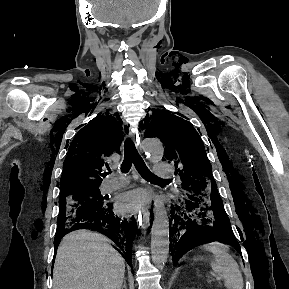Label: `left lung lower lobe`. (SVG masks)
<instances>
[{"mask_svg": "<svg viewBox=\"0 0 289 289\" xmlns=\"http://www.w3.org/2000/svg\"><path fill=\"white\" fill-rule=\"evenodd\" d=\"M204 237L224 239L238 248L230 220L217 189L193 187L181 193L171 205L170 249L173 264L195 247L194 240Z\"/></svg>", "mask_w": 289, "mask_h": 289, "instance_id": "left-lung-lower-lobe-1", "label": "left lung lower lobe"}]
</instances>
